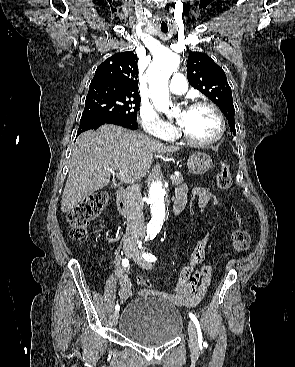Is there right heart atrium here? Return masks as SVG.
<instances>
[{"label": "right heart atrium", "instance_id": "d8ad5b80", "mask_svg": "<svg viewBox=\"0 0 295 367\" xmlns=\"http://www.w3.org/2000/svg\"><path fill=\"white\" fill-rule=\"evenodd\" d=\"M139 121L142 128L152 136L166 139L175 133L174 128L162 120L152 106L143 105L140 108Z\"/></svg>", "mask_w": 295, "mask_h": 367}]
</instances>
